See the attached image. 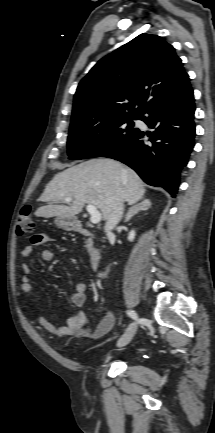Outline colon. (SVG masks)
Returning <instances> with one entry per match:
<instances>
[{"instance_id": "obj_1", "label": "colon", "mask_w": 215, "mask_h": 433, "mask_svg": "<svg viewBox=\"0 0 215 433\" xmlns=\"http://www.w3.org/2000/svg\"><path fill=\"white\" fill-rule=\"evenodd\" d=\"M36 220L32 214L31 206H25L17 217L16 232L19 236L28 235L33 232Z\"/></svg>"}]
</instances>
